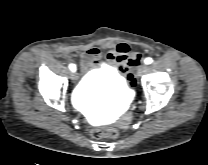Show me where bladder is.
Instances as JSON below:
<instances>
[{"label":"bladder","mask_w":208,"mask_h":165,"mask_svg":"<svg viewBox=\"0 0 208 165\" xmlns=\"http://www.w3.org/2000/svg\"><path fill=\"white\" fill-rule=\"evenodd\" d=\"M98 90L102 91L103 98L110 97L115 102L124 101L131 94L124 79L106 67L90 72L79 82L76 99L82 107H91L92 96Z\"/></svg>","instance_id":"31cf9c89"}]
</instances>
